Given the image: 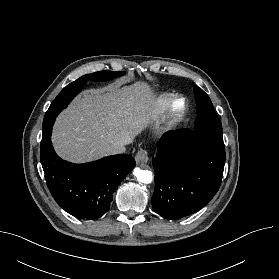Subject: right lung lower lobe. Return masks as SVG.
<instances>
[{"instance_id": "obj_1", "label": "right lung lower lobe", "mask_w": 279, "mask_h": 279, "mask_svg": "<svg viewBox=\"0 0 279 279\" xmlns=\"http://www.w3.org/2000/svg\"><path fill=\"white\" fill-rule=\"evenodd\" d=\"M48 188L59 206L84 220L103 216L113 192L136 165L129 154L113 155L86 164H72L59 158L51 141L40 153Z\"/></svg>"}]
</instances>
